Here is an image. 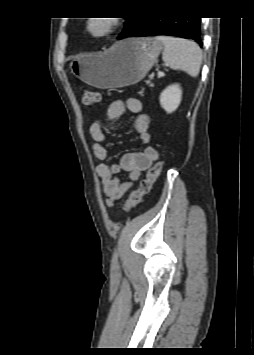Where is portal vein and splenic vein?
<instances>
[{
    "label": "portal vein and splenic vein",
    "instance_id": "obj_1",
    "mask_svg": "<svg viewBox=\"0 0 254 355\" xmlns=\"http://www.w3.org/2000/svg\"><path fill=\"white\" fill-rule=\"evenodd\" d=\"M157 75H158V77H163V76H165L164 72H162V71H158Z\"/></svg>",
    "mask_w": 254,
    "mask_h": 355
}]
</instances>
